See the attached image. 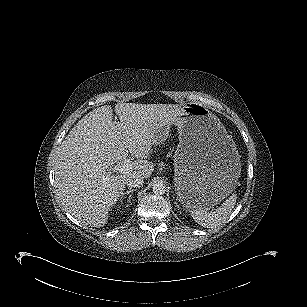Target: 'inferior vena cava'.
<instances>
[{"label":"inferior vena cava","mask_w":307,"mask_h":307,"mask_svg":"<svg viewBox=\"0 0 307 307\" xmlns=\"http://www.w3.org/2000/svg\"><path fill=\"white\" fill-rule=\"evenodd\" d=\"M144 181L143 178L140 176H133L128 179L127 181V186L132 189V188H140L143 185Z\"/></svg>","instance_id":"inferior-vena-cava-1"}]
</instances>
